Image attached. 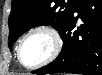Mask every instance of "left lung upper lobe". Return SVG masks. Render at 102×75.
Masks as SVG:
<instances>
[{
  "label": "left lung upper lobe",
  "mask_w": 102,
  "mask_h": 75,
  "mask_svg": "<svg viewBox=\"0 0 102 75\" xmlns=\"http://www.w3.org/2000/svg\"><path fill=\"white\" fill-rule=\"evenodd\" d=\"M80 0H12L9 16V48L27 30L51 25L60 30Z\"/></svg>",
  "instance_id": "1"
}]
</instances>
